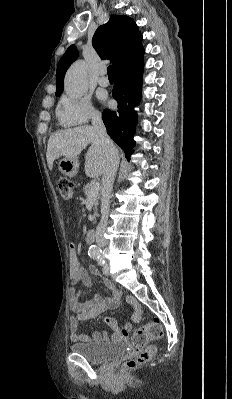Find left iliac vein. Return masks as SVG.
<instances>
[{
    "label": "left iliac vein",
    "instance_id": "left-iliac-vein-1",
    "mask_svg": "<svg viewBox=\"0 0 232 399\" xmlns=\"http://www.w3.org/2000/svg\"><path fill=\"white\" fill-rule=\"evenodd\" d=\"M103 272H104V276L105 277L109 276V266L108 265L104 266Z\"/></svg>",
    "mask_w": 232,
    "mask_h": 399
}]
</instances>
